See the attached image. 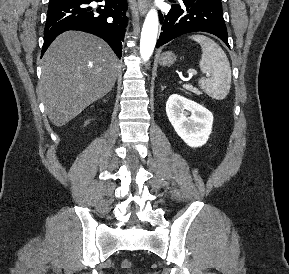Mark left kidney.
<instances>
[{"instance_id": "1", "label": "left kidney", "mask_w": 289, "mask_h": 274, "mask_svg": "<svg viewBox=\"0 0 289 274\" xmlns=\"http://www.w3.org/2000/svg\"><path fill=\"white\" fill-rule=\"evenodd\" d=\"M166 113L176 133L188 146L201 147L208 141L213 115L205 107L172 94L166 103Z\"/></svg>"}]
</instances>
